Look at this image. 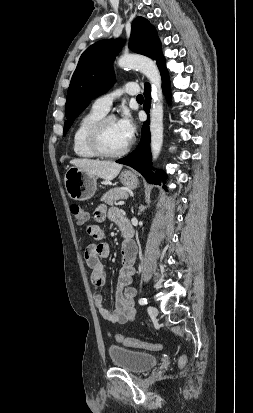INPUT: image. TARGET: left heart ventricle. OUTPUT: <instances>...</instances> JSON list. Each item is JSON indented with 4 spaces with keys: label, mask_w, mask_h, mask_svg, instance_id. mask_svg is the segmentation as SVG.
Wrapping results in <instances>:
<instances>
[{
    "label": "left heart ventricle",
    "mask_w": 253,
    "mask_h": 413,
    "mask_svg": "<svg viewBox=\"0 0 253 413\" xmlns=\"http://www.w3.org/2000/svg\"><path fill=\"white\" fill-rule=\"evenodd\" d=\"M102 143L108 151H118L128 143L120 133L116 120L107 122L102 131Z\"/></svg>",
    "instance_id": "1"
}]
</instances>
